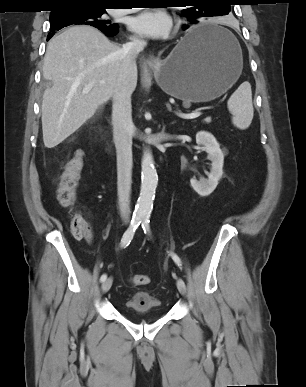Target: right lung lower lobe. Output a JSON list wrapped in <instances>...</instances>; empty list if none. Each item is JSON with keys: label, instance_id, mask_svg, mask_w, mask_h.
Returning <instances> with one entry per match:
<instances>
[{"label": "right lung lower lobe", "instance_id": "right-lung-lower-lobe-1", "mask_svg": "<svg viewBox=\"0 0 306 387\" xmlns=\"http://www.w3.org/2000/svg\"><path fill=\"white\" fill-rule=\"evenodd\" d=\"M103 33H105V35L107 36H114L118 33V26L116 28H104V29H100ZM55 34V32H51L49 33L47 39L49 40L53 35Z\"/></svg>", "mask_w": 306, "mask_h": 387}]
</instances>
